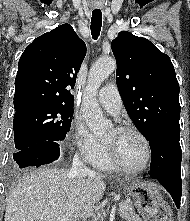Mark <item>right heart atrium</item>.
<instances>
[{
    "mask_svg": "<svg viewBox=\"0 0 190 221\" xmlns=\"http://www.w3.org/2000/svg\"><path fill=\"white\" fill-rule=\"evenodd\" d=\"M69 138L75 152L87 162H90L100 150L101 141L90 132L80 119L73 120Z\"/></svg>",
    "mask_w": 190,
    "mask_h": 221,
    "instance_id": "d8ad5b80",
    "label": "right heart atrium"
}]
</instances>
